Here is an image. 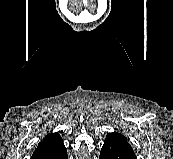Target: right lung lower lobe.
<instances>
[{
    "instance_id": "1",
    "label": "right lung lower lobe",
    "mask_w": 173,
    "mask_h": 159,
    "mask_svg": "<svg viewBox=\"0 0 173 159\" xmlns=\"http://www.w3.org/2000/svg\"><path fill=\"white\" fill-rule=\"evenodd\" d=\"M47 159H68L67 150L64 149L63 151H61L51 157H48Z\"/></svg>"
}]
</instances>
